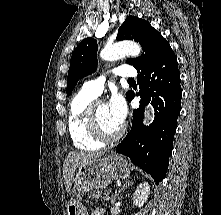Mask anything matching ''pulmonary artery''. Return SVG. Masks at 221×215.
Masks as SVG:
<instances>
[{"label":"pulmonary artery","instance_id":"e3ab8cb5","mask_svg":"<svg viewBox=\"0 0 221 215\" xmlns=\"http://www.w3.org/2000/svg\"><path fill=\"white\" fill-rule=\"evenodd\" d=\"M113 72L116 76H119L122 78L132 79L137 76L136 69L130 65H120L114 68ZM104 80L105 78L103 76L94 80H90L84 84L83 90L97 97L102 93Z\"/></svg>","mask_w":221,"mask_h":215}]
</instances>
